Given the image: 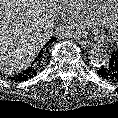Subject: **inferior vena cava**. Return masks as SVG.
Listing matches in <instances>:
<instances>
[{
	"label": "inferior vena cava",
	"instance_id": "obj_1",
	"mask_svg": "<svg viewBox=\"0 0 118 118\" xmlns=\"http://www.w3.org/2000/svg\"><path fill=\"white\" fill-rule=\"evenodd\" d=\"M63 28H64V26H59V27L56 28V30H57V31H60V30H62Z\"/></svg>",
	"mask_w": 118,
	"mask_h": 118
}]
</instances>
